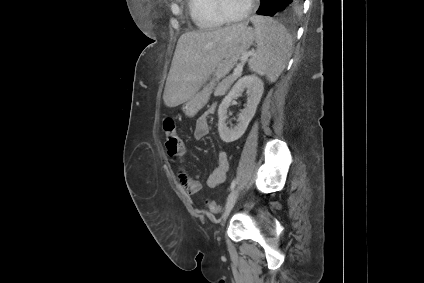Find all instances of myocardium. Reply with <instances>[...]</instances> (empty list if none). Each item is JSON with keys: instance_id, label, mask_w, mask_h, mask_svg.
Returning <instances> with one entry per match:
<instances>
[{"instance_id": "1", "label": "myocardium", "mask_w": 424, "mask_h": 283, "mask_svg": "<svg viewBox=\"0 0 424 283\" xmlns=\"http://www.w3.org/2000/svg\"><path fill=\"white\" fill-rule=\"evenodd\" d=\"M256 5H257V0H250L247 9L243 13H241L239 15H232L225 8L224 0H214V6H215L217 14L225 22H242V21H245L253 13V11L256 8Z\"/></svg>"}]
</instances>
